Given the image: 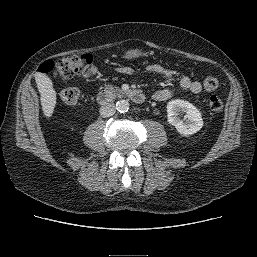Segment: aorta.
<instances>
[{"label": "aorta", "mask_w": 257, "mask_h": 257, "mask_svg": "<svg viewBox=\"0 0 257 257\" xmlns=\"http://www.w3.org/2000/svg\"><path fill=\"white\" fill-rule=\"evenodd\" d=\"M116 110L120 113H125L129 110V102L127 100H118L116 103Z\"/></svg>", "instance_id": "obj_1"}]
</instances>
